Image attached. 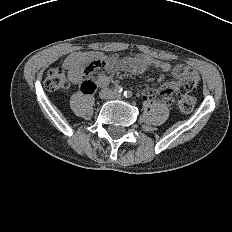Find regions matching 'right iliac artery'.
<instances>
[{
  "label": "right iliac artery",
  "instance_id": "82829eb1",
  "mask_svg": "<svg viewBox=\"0 0 232 232\" xmlns=\"http://www.w3.org/2000/svg\"><path fill=\"white\" fill-rule=\"evenodd\" d=\"M115 92L118 93V94H120V93L122 92V87L117 86V87L115 88Z\"/></svg>",
  "mask_w": 232,
  "mask_h": 232
}]
</instances>
